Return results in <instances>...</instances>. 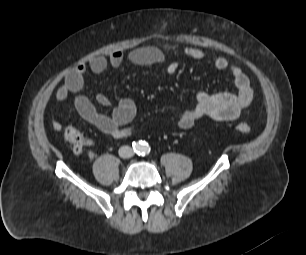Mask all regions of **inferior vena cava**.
Wrapping results in <instances>:
<instances>
[{"label":"inferior vena cava","instance_id":"1","mask_svg":"<svg viewBox=\"0 0 306 255\" xmlns=\"http://www.w3.org/2000/svg\"><path fill=\"white\" fill-rule=\"evenodd\" d=\"M134 155V151L129 146H122L119 149V156L122 158H131Z\"/></svg>","mask_w":306,"mask_h":255}]
</instances>
